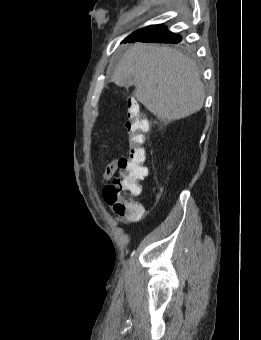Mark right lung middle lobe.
<instances>
[{"label":"right lung middle lobe","mask_w":261,"mask_h":340,"mask_svg":"<svg viewBox=\"0 0 261 340\" xmlns=\"http://www.w3.org/2000/svg\"><path fill=\"white\" fill-rule=\"evenodd\" d=\"M182 40V37L180 35H176L170 40L168 41V43H178Z\"/></svg>","instance_id":"obj_1"}]
</instances>
